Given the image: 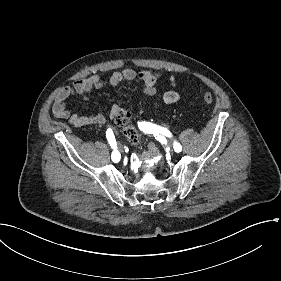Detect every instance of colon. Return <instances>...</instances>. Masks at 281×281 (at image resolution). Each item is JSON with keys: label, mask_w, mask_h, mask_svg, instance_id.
Masks as SVG:
<instances>
[{"label": "colon", "mask_w": 281, "mask_h": 281, "mask_svg": "<svg viewBox=\"0 0 281 281\" xmlns=\"http://www.w3.org/2000/svg\"><path fill=\"white\" fill-rule=\"evenodd\" d=\"M202 98L206 104H211L215 100V97L212 93H204ZM128 119L129 112L126 109H120L115 114V123L123 128L124 133L133 144L138 145L142 141V137L138 134L135 127L130 124V120L127 123H122L126 122Z\"/></svg>", "instance_id": "5ec220e1"}]
</instances>
